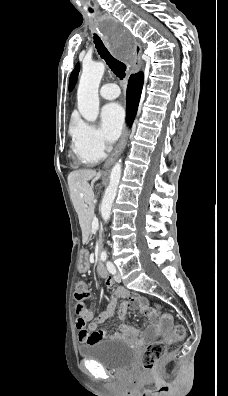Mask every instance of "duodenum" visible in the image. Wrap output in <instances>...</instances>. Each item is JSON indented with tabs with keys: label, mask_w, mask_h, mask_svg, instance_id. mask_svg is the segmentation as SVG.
<instances>
[{
	"label": "duodenum",
	"mask_w": 228,
	"mask_h": 396,
	"mask_svg": "<svg viewBox=\"0 0 228 396\" xmlns=\"http://www.w3.org/2000/svg\"><path fill=\"white\" fill-rule=\"evenodd\" d=\"M98 254L100 255V258H101L102 253L100 254V251H99ZM97 270H98V273L100 274V276H102L103 278L108 276L105 266L100 261H98Z\"/></svg>",
	"instance_id": "1"
}]
</instances>
